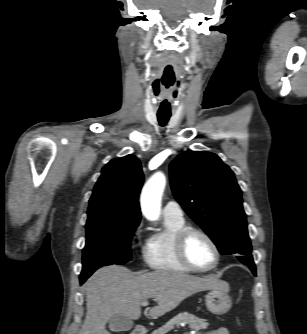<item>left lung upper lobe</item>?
Wrapping results in <instances>:
<instances>
[{
    "instance_id": "5c2ea615",
    "label": "left lung upper lobe",
    "mask_w": 307,
    "mask_h": 334,
    "mask_svg": "<svg viewBox=\"0 0 307 334\" xmlns=\"http://www.w3.org/2000/svg\"><path fill=\"white\" fill-rule=\"evenodd\" d=\"M173 194L223 255L255 268L242 192L233 171L214 153L187 151L170 164Z\"/></svg>"
}]
</instances>
